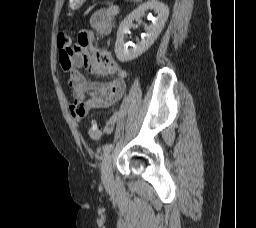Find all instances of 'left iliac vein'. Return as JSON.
I'll use <instances>...</instances> for the list:
<instances>
[{
	"label": "left iliac vein",
	"instance_id": "4c4485c4",
	"mask_svg": "<svg viewBox=\"0 0 256 228\" xmlns=\"http://www.w3.org/2000/svg\"><path fill=\"white\" fill-rule=\"evenodd\" d=\"M102 182L109 187L113 184L112 155L107 154L102 163Z\"/></svg>",
	"mask_w": 256,
	"mask_h": 228
}]
</instances>
